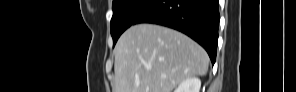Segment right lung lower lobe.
<instances>
[{
	"label": "right lung lower lobe",
	"instance_id": "right-lung-lower-lobe-1",
	"mask_svg": "<svg viewBox=\"0 0 296 92\" xmlns=\"http://www.w3.org/2000/svg\"><path fill=\"white\" fill-rule=\"evenodd\" d=\"M220 15L218 0H156L133 23H153L181 31L216 60Z\"/></svg>",
	"mask_w": 296,
	"mask_h": 92
}]
</instances>
